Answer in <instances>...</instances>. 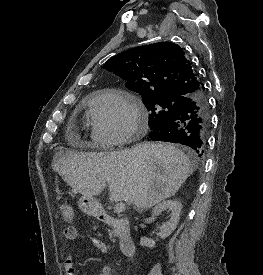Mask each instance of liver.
Instances as JSON below:
<instances>
[{
  "mask_svg": "<svg viewBox=\"0 0 263 275\" xmlns=\"http://www.w3.org/2000/svg\"><path fill=\"white\" fill-rule=\"evenodd\" d=\"M52 168L83 196L99 195L108 183L110 201L144 211L174 196L196 165L172 145L145 142L109 153L60 152Z\"/></svg>",
  "mask_w": 263,
  "mask_h": 275,
  "instance_id": "obj_1",
  "label": "liver"
}]
</instances>
